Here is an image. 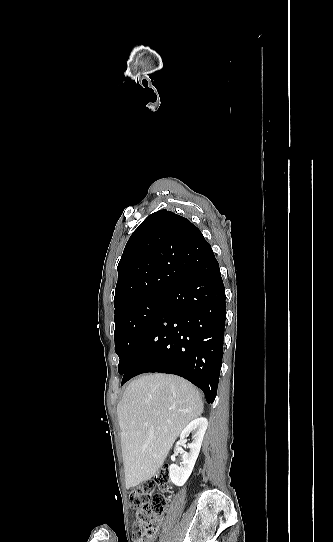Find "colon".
<instances>
[{
    "label": "colon",
    "mask_w": 333,
    "mask_h": 542,
    "mask_svg": "<svg viewBox=\"0 0 333 542\" xmlns=\"http://www.w3.org/2000/svg\"><path fill=\"white\" fill-rule=\"evenodd\" d=\"M170 480L169 469L164 465L157 470L154 478L143 481L136 490L131 492L129 505L137 512V515L131 517V524L136 527L130 529L128 533L130 540H142L157 533L159 516L165 508L166 501L161 495L154 496V490L159 488L168 491Z\"/></svg>",
    "instance_id": "colon-1"
}]
</instances>
